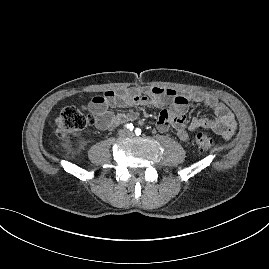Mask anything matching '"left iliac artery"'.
<instances>
[{
    "label": "left iliac artery",
    "mask_w": 269,
    "mask_h": 269,
    "mask_svg": "<svg viewBox=\"0 0 269 269\" xmlns=\"http://www.w3.org/2000/svg\"><path fill=\"white\" fill-rule=\"evenodd\" d=\"M135 134H136L137 136H139V135L141 134V129H140V128H136V129H135Z\"/></svg>",
    "instance_id": "1"
}]
</instances>
